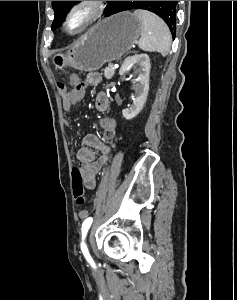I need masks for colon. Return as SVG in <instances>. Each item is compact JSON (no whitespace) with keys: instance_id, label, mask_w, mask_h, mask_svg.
<instances>
[{"instance_id":"5ec220e1","label":"colon","mask_w":237,"mask_h":300,"mask_svg":"<svg viewBox=\"0 0 237 300\" xmlns=\"http://www.w3.org/2000/svg\"><path fill=\"white\" fill-rule=\"evenodd\" d=\"M59 88L62 90H65L66 87L64 84L59 83ZM74 93L82 97L85 92V85L82 83H79L75 85L72 89ZM72 186H73V194L76 200V203L78 205H82L84 203L85 197H84V179L82 176V173L78 168H73L72 170Z\"/></svg>"}]
</instances>
